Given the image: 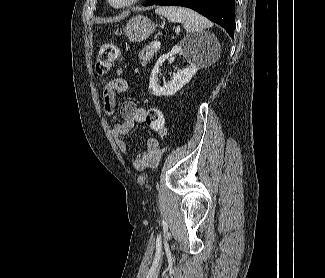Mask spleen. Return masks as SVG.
Returning <instances> with one entry per match:
<instances>
[{
	"label": "spleen",
	"instance_id": "spleen-1",
	"mask_svg": "<svg viewBox=\"0 0 325 278\" xmlns=\"http://www.w3.org/2000/svg\"><path fill=\"white\" fill-rule=\"evenodd\" d=\"M155 13L166 17L170 22L182 23L187 33H196L212 26V23L197 12L178 6L157 7Z\"/></svg>",
	"mask_w": 325,
	"mask_h": 278
}]
</instances>
